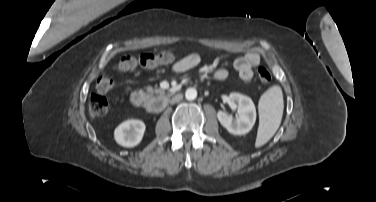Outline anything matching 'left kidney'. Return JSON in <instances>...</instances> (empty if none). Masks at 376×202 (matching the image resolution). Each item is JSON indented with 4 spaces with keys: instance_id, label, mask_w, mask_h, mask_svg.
<instances>
[{
    "instance_id": "1",
    "label": "left kidney",
    "mask_w": 376,
    "mask_h": 202,
    "mask_svg": "<svg viewBox=\"0 0 376 202\" xmlns=\"http://www.w3.org/2000/svg\"><path fill=\"white\" fill-rule=\"evenodd\" d=\"M229 101L238 105L237 112L239 117L234 120L232 116L219 111L217 113L219 122L231 134L243 135L248 133L256 121V109L252 99L248 96L232 92L229 95Z\"/></svg>"
}]
</instances>
